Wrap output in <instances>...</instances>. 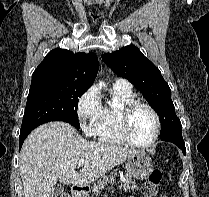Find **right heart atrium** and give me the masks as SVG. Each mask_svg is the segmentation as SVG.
<instances>
[{"label":"right heart atrium","instance_id":"right-heart-atrium-1","mask_svg":"<svg viewBox=\"0 0 209 197\" xmlns=\"http://www.w3.org/2000/svg\"><path fill=\"white\" fill-rule=\"evenodd\" d=\"M102 109L103 106L94 87L89 88L80 96L77 103V116L86 135H96Z\"/></svg>","mask_w":209,"mask_h":197}]
</instances>
